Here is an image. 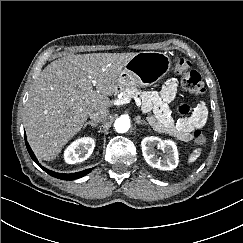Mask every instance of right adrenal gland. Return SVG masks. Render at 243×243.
<instances>
[{"instance_id":"right-adrenal-gland-1","label":"right adrenal gland","mask_w":243,"mask_h":243,"mask_svg":"<svg viewBox=\"0 0 243 243\" xmlns=\"http://www.w3.org/2000/svg\"><path fill=\"white\" fill-rule=\"evenodd\" d=\"M87 125H91L92 127H96L98 125V123L94 122V121H88L84 124L83 129H85L87 127Z\"/></svg>"}]
</instances>
